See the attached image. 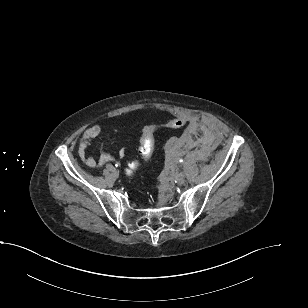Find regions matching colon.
Segmentation results:
<instances>
[{
	"instance_id": "obj_1",
	"label": "colon",
	"mask_w": 308,
	"mask_h": 308,
	"mask_svg": "<svg viewBox=\"0 0 308 308\" xmlns=\"http://www.w3.org/2000/svg\"><path fill=\"white\" fill-rule=\"evenodd\" d=\"M184 125V120L180 117H174L170 119L162 127L176 129ZM160 126H148L144 129L140 144V153L144 159L150 158L155 147V132ZM139 166L138 162H132L129 164L127 173L131 175Z\"/></svg>"
}]
</instances>
